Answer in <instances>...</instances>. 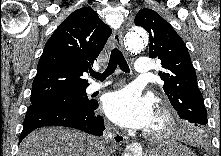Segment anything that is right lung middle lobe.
I'll return each mask as SVG.
<instances>
[{"mask_svg": "<svg viewBox=\"0 0 221 156\" xmlns=\"http://www.w3.org/2000/svg\"><path fill=\"white\" fill-rule=\"evenodd\" d=\"M95 100H89L85 90L66 92L56 94L40 99H31V104L60 106V107H74V108H88Z\"/></svg>", "mask_w": 221, "mask_h": 156, "instance_id": "1", "label": "right lung middle lobe"}]
</instances>
